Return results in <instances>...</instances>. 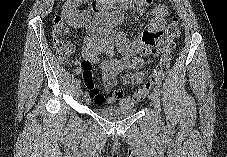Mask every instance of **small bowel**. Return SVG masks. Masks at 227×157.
<instances>
[{"label": "small bowel", "instance_id": "obj_1", "mask_svg": "<svg viewBox=\"0 0 227 157\" xmlns=\"http://www.w3.org/2000/svg\"><path fill=\"white\" fill-rule=\"evenodd\" d=\"M151 1L141 0L146 5ZM168 14L167 4L155 5L147 28L133 41L124 34L112 37L104 32L90 33L82 47L83 61L77 63V72L82 73L86 87L83 96L88 102L97 106L116 102L120 104L124 98L125 88L142 82L145 76V62L142 56L150 53L151 47L160 37ZM115 52H118L121 57H115ZM103 55L107 58H102ZM93 66H98L101 70L102 81L106 90L110 92L107 97L94 85L91 72ZM128 70L131 74L121 77L122 87L114 89L118 76Z\"/></svg>", "mask_w": 227, "mask_h": 157}]
</instances>
